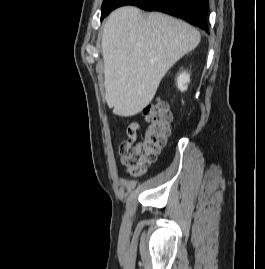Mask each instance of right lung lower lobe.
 I'll list each match as a JSON object with an SVG mask.
<instances>
[{"label": "right lung lower lobe", "instance_id": "98d812e1", "mask_svg": "<svg viewBox=\"0 0 265 269\" xmlns=\"http://www.w3.org/2000/svg\"><path fill=\"white\" fill-rule=\"evenodd\" d=\"M123 5H135L147 11H160L182 18L208 32V0H114L103 19L112 10Z\"/></svg>", "mask_w": 265, "mask_h": 269}]
</instances>
